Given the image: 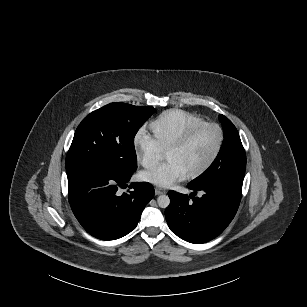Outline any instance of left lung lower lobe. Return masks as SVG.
<instances>
[{
	"label": "left lung lower lobe",
	"mask_w": 307,
	"mask_h": 307,
	"mask_svg": "<svg viewBox=\"0 0 307 307\" xmlns=\"http://www.w3.org/2000/svg\"><path fill=\"white\" fill-rule=\"evenodd\" d=\"M193 190L190 196L169 191L170 205L165 210L169 228L190 243H205L220 235L234 218L241 188L223 183L209 184ZM202 190V197H195ZM192 198V200H191Z\"/></svg>",
	"instance_id": "0a47b994"
}]
</instances>
